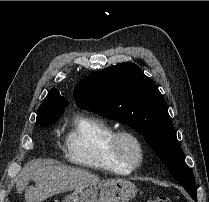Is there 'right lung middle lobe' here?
I'll return each mask as SVG.
<instances>
[{
	"instance_id": "right-lung-middle-lobe-1",
	"label": "right lung middle lobe",
	"mask_w": 209,
	"mask_h": 202,
	"mask_svg": "<svg viewBox=\"0 0 209 202\" xmlns=\"http://www.w3.org/2000/svg\"><path fill=\"white\" fill-rule=\"evenodd\" d=\"M44 107V105L40 106L37 111V120H43V123H37L42 127H46L55 123L63 115L65 111V108L44 109Z\"/></svg>"
}]
</instances>
